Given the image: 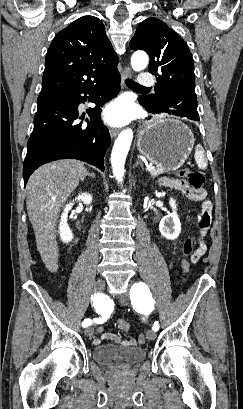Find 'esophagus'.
I'll return each instance as SVG.
<instances>
[{
  "label": "esophagus",
  "mask_w": 243,
  "mask_h": 409,
  "mask_svg": "<svg viewBox=\"0 0 243 409\" xmlns=\"http://www.w3.org/2000/svg\"><path fill=\"white\" fill-rule=\"evenodd\" d=\"M132 76V71L129 67L125 66L124 70L122 72V81L124 83V80L127 78H130ZM111 137H115L117 136V134L119 133V130L116 128H110L109 130Z\"/></svg>",
  "instance_id": "esophagus-1"
}]
</instances>
